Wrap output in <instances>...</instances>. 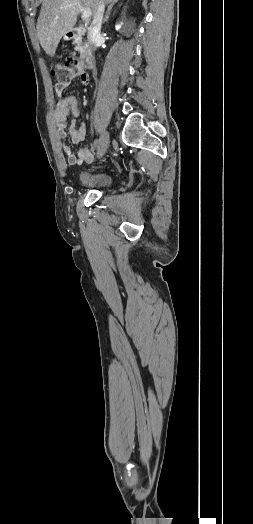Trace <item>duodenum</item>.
I'll list each match as a JSON object with an SVG mask.
<instances>
[{
    "label": "duodenum",
    "instance_id": "1",
    "mask_svg": "<svg viewBox=\"0 0 253 524\" xmlns=\"http://www.w3.org/2000/svg\"><path fill=\"white\" fill-rule=\"evenodd\" d=\"M86 34L87 29L83 26H79L70 30L67 34V37L77 42H81L82 39L86 36ZM79 61H81L82 68L84 69H90L93 66V53L89 47H81Z\"/></svg>",
    "mask_w": 253,
    "mask_h": 524
}]
</instances>
